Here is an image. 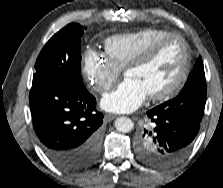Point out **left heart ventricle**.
<instances>
[{"label": "left heart ventricle", "mask_w": 223, "mask_h": 188, "mask_svg": "<svg viewBox=\"0 0 223 188\" xmlns=\"http://www.w3.org/2000/svg\"><path fill=\"white\" fill-rule=\"evenodd\" d=\"M182 63V43L178 39H170L148 62L129 70L126 77L137 81L149 96L170 87L176 80Z\"/></svg>", "instance_id": "b2bd125f"}]
</instances>
